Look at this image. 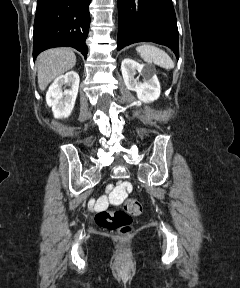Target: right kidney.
<instances>
[{"instance_id":"right-kidney-1","label":"right kidney","mask_w":240,"mask_h":288,"mask_svg":"<svg viewBox=\"0 0 240 288\" xmlns=\"http://www.w3.org/2000/svg\"><path fill=\"white\" fill-rule=\"evenodd\" d=\"M80 78L75 71H69L55 79L46 94V103L52 107L55 118L68 117L76 101ZM70 88L63 91V86Z\"/></svg>"}]
</instances>
